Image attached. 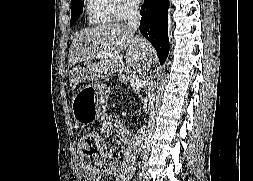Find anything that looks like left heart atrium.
I'll return each instance as SVG.
<instances>
[{
  "label": "left heart atrium",
  "mask_w": 253,
  "mask_h": 181,
  "mask_svg": "<svg viewBox=\"0 0 253 181\" xmlns=\"http://www.w3.org/2000/svg\"><path fill=\"white\" fill-rule=\"evenodd\" d=\"M136 2H140L141 0H135Z\"/></svg>",
  "instance_id": "obj_1"
}]
</instances>
